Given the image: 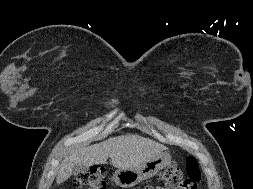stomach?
Segmentation results:
<instances>
[{
  "mask_svg": "<svg viewBox=\"0 0 253 189\" xmlns=\"http://www.w3.org/2000/svg\"><path fill=\"white\" fill-rule=\"evenodd\" d=\"M171 162L170 154L162 152L139 167L131 169H118L113 180L122 188H131L143 180L154 176L159 170L168 166Z\"/></svg>",
  "mask_w": 253,
  "mask_h": 189,
  "instance_id": "1",
  "label": "stomach"
}]
</instances>
